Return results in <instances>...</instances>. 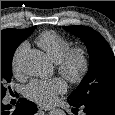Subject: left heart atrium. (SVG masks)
I'll return each mask as SVG.
<instances>
[{
    "mask_svg": "<svg viewBox=\"0 0 115 115\" xmlns=\"http://www.w3.org/2000/svg\"><path fill=\"white\" fill-rule=\"evenodd\" d=\"M66 91V84L60 78L34 79L28 83L23 94L29 100L48 106L55 102L58 94Z\"/></svg>",
    "mask_w": 115,
    "mask_h": 115,
    "instance_id": "39dd6f15",
    "label": "left heart atrium"
}]
</instances>
